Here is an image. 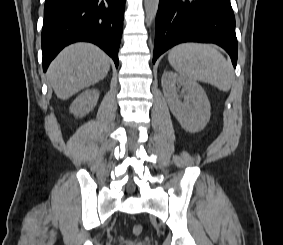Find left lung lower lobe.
<instances>
[{
  "label": "left lung lower lobe",
  "mask_w": 283,
  "mask_h": 245,
  "mask_svg": "<svg viewBox=\"0 0 283 245\" xmlns=\"http://www.w3.org/2000/svg\"><path fill=\"white\" fill-rule=\"evenodd\" d=\"M182 42L215 43L228 52L236 67L238 46L230 0H160L153 63Z\"/></svg>",
  "instance_id": "obj_1"
}]
</instances>
